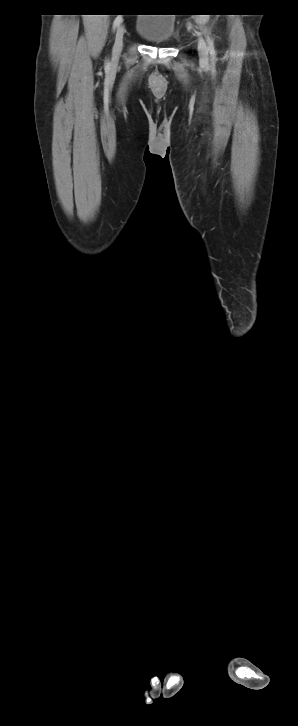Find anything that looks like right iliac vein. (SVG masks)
I'll list each match as a JSON object with an SVG mask.
<instances>
[{
	"mask_svg": "<svg viewBox=\"0 0 298 726\" xmlns=\"http://www.w3.org/2000/svg\"><path fill=\"white\" fill-rule=\"evenodd\" d=\"M125 33V27L124 25H120L117 28L116 34H115V42L113 46V59L118 60L123 46V37Z\"/></svg>",
	"mask_w": 298,
	"mask_h": 726,
	"instance_id": "obj_1",
	"label": "right iliac vein"
}]
</instances>
